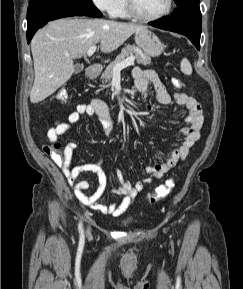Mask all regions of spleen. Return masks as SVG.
Wrapping results in <instances>:
<instances>
[{
    "mask_svg": "<svg viewBox=\"0 0 243 289\" xmlns=\"http://www.w3.org/2000/svg\"><path fill=\"white\" fill-rule=\"evenodd\" d=\"M180 69L186 75L192 74V66L187 58L182 59L180 63Z\"/></svg>",
    "mask_w": 243,
    "mask_h": 289,
    "instance_id": "obj_1",
    "label": "spleen"
}]
</instances>
